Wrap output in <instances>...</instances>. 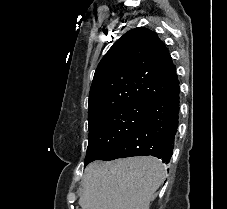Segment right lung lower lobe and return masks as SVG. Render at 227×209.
Wrapping results in <instances>:
<instances>
[{"instance_id": "right-lung-lower-lobe-1", "label": "right lung lower lobe", "mask_w": 227, "mask_h": 209, "mask_svg": "<svg viewBox=\"0 0 227 209\" xmlns=\"http://www.w3.org/2000/svg\"><path fill=\"white\" fill-rule=\"evenodd\" d=\"M165 71L173 88L151 100L141 123L100 160L151 155L169 163L178 127L179 82L174 64Z\"/></svg>"}]
</instances>
